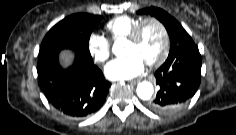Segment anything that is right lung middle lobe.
Masks as SVG:
<instances>
[{
  "instance_id": "1",
  "label": "right lung middle lobe",
  "mask_w": 236,
  "mask_h": 135,
  "mask_svg": "<svg viewBox=\"0 0 236 135\" xmlns=\"http://www.w3.org/2000/svg\"><path fill=\"white\" fill-rule=\"evenodd\" d=\"M101 16L77 13L53 26L44 37L39 50V60L56 56L62 49H73L90 56L89 39Z\"/></svg>"
}]
</instances>
